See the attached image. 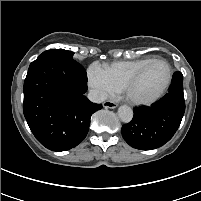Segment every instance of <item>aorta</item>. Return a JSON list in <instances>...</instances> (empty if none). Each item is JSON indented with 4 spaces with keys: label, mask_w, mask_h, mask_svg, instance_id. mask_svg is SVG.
<instances>
[{
    "label": "aorta",
    "mask_w": 201,
    "mask_h": 201,
    "mask_svg": "<svg viewBox=\"0 0 201 201\" xmlns=\"http://www.w3.org/2000/svg\"><path fill=\"white\" fill-rule=\"evenodd\" d=\"M118 116L122 122L129 123L133 118V110L127 105L120 106Z\"/></svg>",
    "instance_id": "aorta-1"
}]
</instances>
